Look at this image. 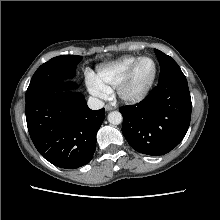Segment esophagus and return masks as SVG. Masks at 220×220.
<instances>
[{"mask_svg": "<svg viewBox=\"0 0 220 220\" xmlns=\"http://www.w3.org/2000/svg\"><path fill=\"white\" fill-rule=\"evenodd\" d=\"M113 109H115V107H113V106H111V105H109V104H107V105L105 106V110H106V111H111V110H113Z\"/></svg>", "mask_w": 220, "mask_h": 220, "instance_id": "34e87169", "label": "esophagus"}]
</instances>
